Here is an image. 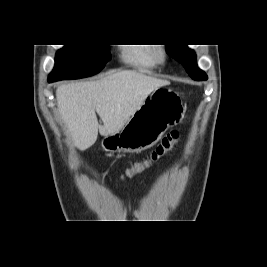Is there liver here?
<instances>
[{"label": "liver", "mask_w": 267, "mask_h": 267, "mask_svg": "<svg viewBox=\"0 0 267 267\" xmlns=\"http://www.w3.org/2000/svg\"><path fill=\"white\" fill-rule=\"evenodd\" d=\"M169 84L167 80L123 70L96 81L58 86L57 106L74 145L83 151L96 142L98 130L102 136L118 132L151 92Z\"/></svg>", "instance_id": "obj_1"}]
</instances>
